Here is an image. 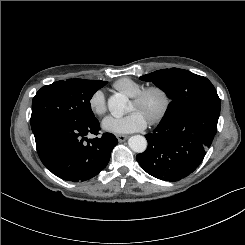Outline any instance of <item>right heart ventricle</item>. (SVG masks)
<instances>
[{"label": "right heart ventricle", "mask_w": 245, "mask_h": 245, "mask_svg": "<svg viewBox=\"0 0 245 245\" xmlns=\"http://www.w3.org/2000/svg\"><path fill=\"white\" fill-rule=\"evenodd\" d=\"M113 87L116 90L128 95L129 97L135 96L143 88H145L144 84L128 77L118 79L113 84Z\"/></svg>", "instance_id": "obj_1"}]
</instances>
